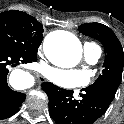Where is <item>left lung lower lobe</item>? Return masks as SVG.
<instances>
[{
  "instance_id": "obj_1",
  "label": "left lung lower lobe",
  "mask_w": 124,
  "mask_h": 124,
  "mask_svg": "<svg viewBox=\"0 0 124 124\" xmlns=\"http://www.w3.org/2000/svg\"><path fill=\"white\" fill-rule=\"evenodd\" d=\"M49 98V113L57 124H93L108 109L113 98L107 91L87 87L80 99L73 98V91L65 90L50 82L42 84Z\"/></svg>"
}]
</instances>
